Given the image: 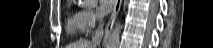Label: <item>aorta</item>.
I'll return each instance as SVG.
<instances>
[{
  "instance_id": "1",
  "label": "aorta",
  "mask_w": 213,
  "mask_h": 48,
  "mask_svg": "<svg viewBox=\"0 0 213 48\" xmlns=\"http://www.w3.org/2000/svg\"><path fill=\"white\" fill-rule=\"evenodd\" d=\"M83 5H91L96 3L98 0H79ZM122 25L119 21L115 22V25L108 36L106 48H118L120 43V33Z\"/></svg>"
}]
</instances>
